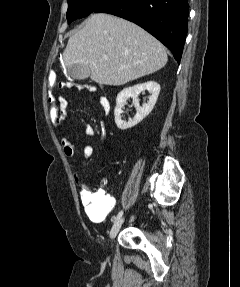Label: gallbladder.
Returning a JSON list of instances; mask_svg holds the SVG:
<instances>
[{
	"label": "gallbladder",
	"mask_w": 240,
	"mask_h": 287,
	"mask_svg": "<svg viewBox=\"0 0 240 287\" xmlns=\"http://www.w3.org/2000/svg\"><path fill=\"white\" fill-rule=\"evenodd\" d=\"M65 74L69 79L72 80H84L90 76V70L87 66L75 64L68 67Z\"/></svg>",
	"instance_id": "obj_1"
}]
</instances>
